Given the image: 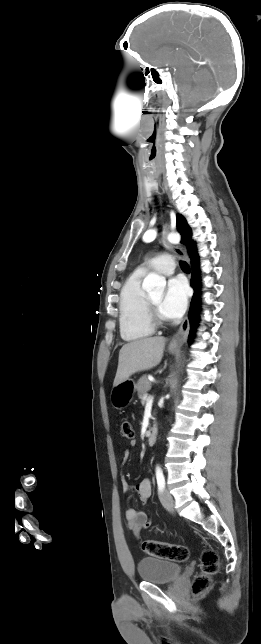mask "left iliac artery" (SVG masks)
Segmentation results:
<instances>
[{
    "mask_svg": "<svg viewBox=\"0 0 261 644\" xmlns=\"http://www.w3.org/2000/svg\"><path fill=\"white\" fill-rule=\"evenodd\" d=\"M156 479H157V485H158L159 491H163V489L165 487V478H164L163 471L160 468V466L156 467Z\"/></svg>",
    "mask_w": 261,
    "mask_h": 644,
    "instance_id": "obj_1",
    "label": "left iliac artery"
}]
</instances>
